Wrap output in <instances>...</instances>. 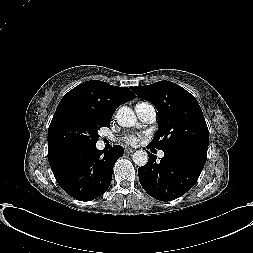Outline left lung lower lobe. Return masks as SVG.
I'll list each match as a JSON object with an SVG mask.
<instances>
[{
    "instance_id": "obj_1",
    "label": "left lung lower lobe",
    "mask_w": 253,
    "mask_h": 253,
    "mask_svg": "<svg viewBox=\"0 0 253 253\" xmlns=\"http://www.w3.org/2000/svg\"><path fill=\"white\" fill-rule=\"evenodd\" d=\"M163 152L160 162H156L157 157L148 152L149 161L138 168V174L141 186L150 196L169 201L182 196L195 185L207 157L184 150Z\"/></svg>"
}]
</instances>
